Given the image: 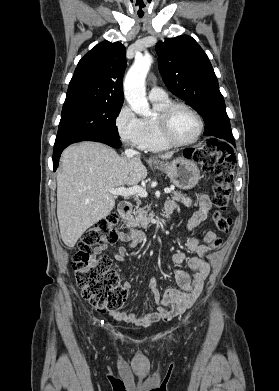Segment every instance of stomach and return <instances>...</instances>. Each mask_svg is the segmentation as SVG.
<instances>
[{
	"instance_id": "0dacf381",
	"label": "stomach",
	"mask_w": 279,
	"mask_h": 391,
	"mask_svg": "<svg viewBox=\"0 0 279 391\" xmlns=\"http://www.w3.org/2000/svg\"><path fill=\"white\" fill-rule=\"evenodd\" d=\"M154 165L158 170L166 173L175 186L183 190L192 189L200 179L198 166L192 160L183 157L171 162H155Z\"/></svg>"
}]
</instances>
